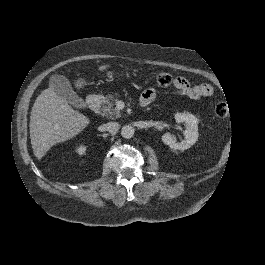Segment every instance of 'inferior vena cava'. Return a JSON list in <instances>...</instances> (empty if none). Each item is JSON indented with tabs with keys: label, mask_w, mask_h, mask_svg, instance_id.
Instances as JSON below:
<instances>
[{
	"label": "inferior vena cava",
	"mask_w": 265,
	"mask_h": 265,
	"mask_svg": "<svg viewBox=\"0 0 265 265\" xmlns=\"http://www.w3.org/2000/svg\"><path fill=\"white\" fill-rule=\"evenodd\" d=\"M105 128H106V131L110 132L111 134H115L119 130L120 126L118 123L109 122L105 124Z\"/></svg>",
	"instance_id": "1"
}]
</instances>
